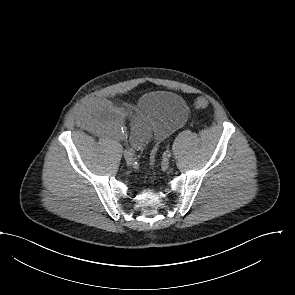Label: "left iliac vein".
I'll list each match as a JSON object with an SVG mask.
<instances>
[{"mask_svg": "<svg viewBox=\"0 0 295 295\" xmlns=\"http://www.w3.org/2000/svg\"><path fill=\"white\" fill-rule=\"evenodd\" d=\"M170 161L169 158L165 157L162 161L163 168L167 169L169 167Z\"/></svg>", "mask_w": 295, "mask_h": 295, "instance_id": "obj_1", "label": "left iliac vein"}]
</instances>
